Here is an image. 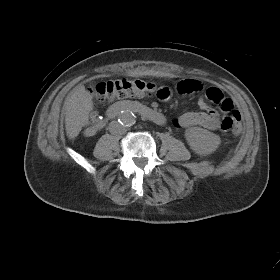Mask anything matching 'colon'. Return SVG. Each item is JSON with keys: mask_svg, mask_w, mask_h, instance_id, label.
Wrapping results in <instances>:
<instances>
[{"mask_svg": "<svg viewBox=\"0 0 280 280\" xmlns=\"http://www.w3.org/2000/svg\"><path fill=\"white\" fill-rule=\"evenodd\" d=\"M94 95L101 101H111L113 99H124L138 95H152L161 100H167L171 95V89L168 87L157 88L155 84L139 79H115L98 84L93 90ZM209 101L219 105V107L228 113L220 123L221 131H231L233 136H239L242 133L241 116L236 110H233V102L225 98L222 92L217 88H209L206 92ZM95 117L93 121H95Z\"/></svg>", "mask_w": 280, "mask_h": 280, "instance_id": "5ec220e1", "label": "colon"}]
</instances>
